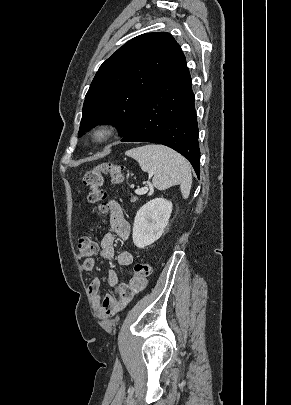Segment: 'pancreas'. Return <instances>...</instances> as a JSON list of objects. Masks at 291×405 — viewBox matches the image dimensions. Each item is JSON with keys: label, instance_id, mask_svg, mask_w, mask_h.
<instances>
[{"label": "pancreas", "instance_id": "1", "mask_svg": "<svg viewBox=\"0 0 291 405\" xmlns=\"http://www.w3.org/2000/svg\"><path fill=\"white\" fill-rule=\"evenodd\" d=\"M137 200H138L137 197H132V198H131V202H136Z\"/></svg>", "mask_w": 291, "mask_h": 405}]
</instances>
